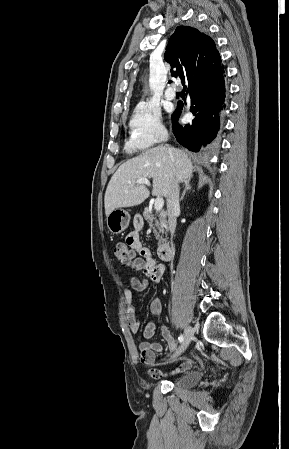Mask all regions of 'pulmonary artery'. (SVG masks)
Returning <instances> with one entry per match:
<instances>
[{
	"label": "pulmonary artery",
	"instance_id": "1",
	"mask_svg": "<svg viewBox=\"0 0 289 449\" xmlns=\"http://www.w3.org/2000/svg\"><path fill=\"white\" fill-rule=\"evenodd\" d=\"M175 96H176V91H175V89L173 88V87H168L167 89H166V91H165V97L168 99V100H172V99H174L175 98Z\"/></svg>",
	"mask_w": 289,
	"mask_h": 449
}]
</instances>
